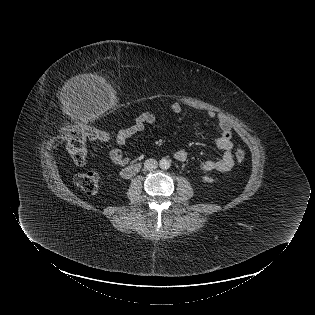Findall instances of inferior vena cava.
I'll use <instances>...</instances> for the list:
<instances>
[{
	"mask_svg": "<svg viewBox=\"0 0 315 315\" xmlns=\"http://www.w3.org/2000/svg\"><path fill=\"white\" fill-rule=\"evenodd\" d=\"M158 167V162L155 159H147L144 162V170L153 171Z\"/></svg>",
	"mask_w": 315,
	"mask_h": 315,
	"instance_id": "602c4592",
	"label": "inferior vena cava"
}]
</instances>
